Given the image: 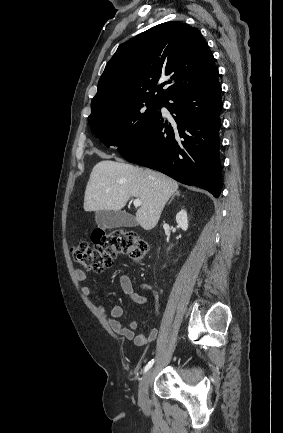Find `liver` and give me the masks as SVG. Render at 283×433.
<instances>
[{
  "label": "liver",
  "instance_id": "liver-1",
  "mask_svg": "<svg viewBox=\"0 0 283 433\" xmlns=\"http://www.w3.org/2000/svg\"><path fill=\"white\" fill-rule=\"evenodd\" d=\"M178 182L169 176L126 162L101 160L93 166L84 194L85 210H121L130 196L142 200L136 221L145 231L156 227Z\"/></svg>",
  "mask_w": 283,
  "mask_h": 433
}]
</instances>
